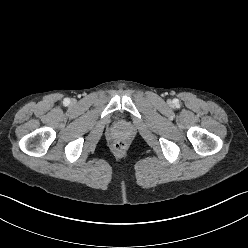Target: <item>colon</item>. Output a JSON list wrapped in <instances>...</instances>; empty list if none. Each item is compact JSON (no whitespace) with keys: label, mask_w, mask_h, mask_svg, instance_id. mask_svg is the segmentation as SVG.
<instances>
[{"label":"colon","mask_w":248,"mask_h":248,"mask_svg":"<svg viewBox=\"0 0 248 248\" xmlns=\"http://www.w3.org/2000/svg\"><path fill=\"white\" fill-rule=\"evenodd\" d=\"M126 147L127 144L123 139H117L113 144V149L118 153L125 151Z\"/></svg>","instance_id":"obj_1"}]
</instances>
